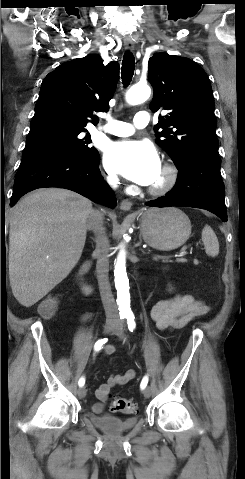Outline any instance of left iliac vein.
Returning <instances> with one entry per match:
<instances>
[{
    "mask_svg": "<svg viewBox=\"0 0 245 479\" xmlns=\"http://www.w3.org/2000/svg\"><path fill=\"white\" fill-rule=\"evenodd\" d=\"M115 334L121 338V339H125V334H124V331H123V328H122V325L120 323L117 324V328L115 329ZM143 394L146 398L150 397L151 395V388L150 387H146L144 388L143 390Z\"/></svg>",
    "mask_w": 245,
    "mask_h": 479,
    "instance_id": "1",
    "label": "left iliac vein"
}]
</instances>
